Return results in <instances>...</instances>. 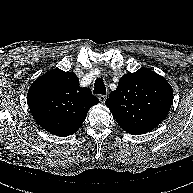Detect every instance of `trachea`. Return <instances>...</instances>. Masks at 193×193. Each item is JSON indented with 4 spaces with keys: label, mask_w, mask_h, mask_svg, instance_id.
<instances>
[{
    "label": "trachea",
    "mask_w": 193,
    "mask_h": 193,
    "mask_svg": "<svg viewBox=\"0 0 193 193\" xmlns=\"http://www.w3.org/2000/svg\"><path fill=\"white\" fill-rule=\"evenodd\" d=\"M93 93L94 94H101V95L106 94V88H105V84H104L103 79H101V78L96 79V81L94 83Z\"/></svg>",
    "instance_id": "3493384b"
}]
</instances>
